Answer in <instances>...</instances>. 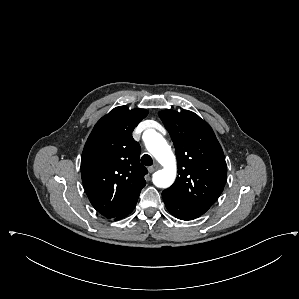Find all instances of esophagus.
<instances>
[{"label": "esophagus", "mask_w": 299, "mask_h": 299, "mask_svg": "<svg viewBox=\"0 0 299 299\" xmlns=\"http://www.w3.org/2000/svg\"><path fill=\"white\" fill-rule=\"evenodd\" d=\"M157 169H159V164H154L153 166H151V167H149L148 168V171L150 172V173H153V172H155Z\"/></svg>", "instance_id": "34e87169"}]
</instances>
